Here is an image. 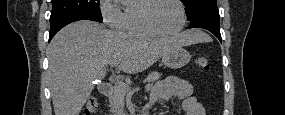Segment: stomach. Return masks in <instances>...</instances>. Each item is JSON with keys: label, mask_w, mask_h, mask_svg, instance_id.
I'll return each instance as SVG.
<instances>
[{"label": "stomach", "mask_w": 285, "mask_h": 115, "mask_svg": "<svg viewBox=\"0 0 285 115\" xmlns=\"http://www.w3.org/2000/svg\"><path fill=\"white\" fill-rule=\"evenodd\" d=\"M191 55L182 47H175L162 56L165 66L177 69L185 66L190 61Z\"/></svg>", "instance_id": "stomach-1"}]
</instances>
